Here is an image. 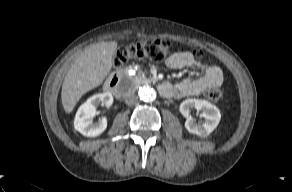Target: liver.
Segmentation results:
<instances>
[{
    "label": "liver",
    "instance_id": "obj_1",
    "mask_svg": "<svg viewBox=\"0 0 292 192\" xmlns=\"http://www.w3.org/2000/svg\"><path fill=\"white\" fill-rule=\"evenodd\" d=\"M117 42L92 44L81 52L68 70L62 84L61 100L66 113H71L80 98L102 84L113 64Z\"/></svg>",
    "mask_w": 292,
    "mask_h": 192
}]
</instances>
